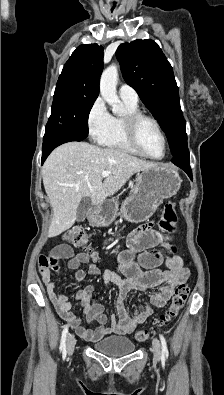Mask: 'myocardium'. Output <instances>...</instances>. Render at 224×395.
I'll return each instance as SVG.
<instances>
[{
	"label": "myocardium",
	"instance_id": "obj_1",
	"mask_svg": "<svg viewBox=\"0 0 224 395\" xmlns=\"http://www.w3.org/2000/svg\"><path fill=\"white\" fill-rule=\"evenodd\" d=\"M148 121L154 125L164 143V154L161 157H154L150 155L142 146L139 140V127L142 122ZM124 130L126 137L132 147L141 153L143 156L153 159L162 160L165 158L168 150V141L164 131L161 128L159 122L152 116L144 114L142 112L128 113L124 116Z\"/></svg>",
	"mask_w": 224,
	"mask_h": 395
}]
</instances>
